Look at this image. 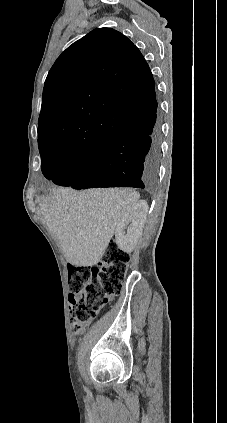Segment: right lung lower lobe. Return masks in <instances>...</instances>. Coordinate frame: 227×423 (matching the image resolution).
Instances as JSON below:
<instances>
[{"label":"right lung lower lobe","instance_id":"1","mask_svg":"<svg viewBox=\"0 0 227 423\" xmlns=\"http://www.w3.org/2000/svg\"><path fill=\"white\" fill-rule=\"evenodd\" d=\"M157 106L154 89L144 100L128 101L103 109L105 115L127 120L130 126L103 138L75 160L41 164L43 175L56 185L74 189H152L160 161L161 129Z\"/></svg>","mask_w":227,"mask_h":423}]
</instances>
